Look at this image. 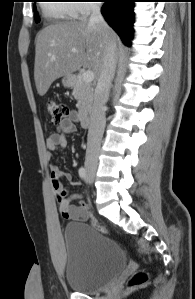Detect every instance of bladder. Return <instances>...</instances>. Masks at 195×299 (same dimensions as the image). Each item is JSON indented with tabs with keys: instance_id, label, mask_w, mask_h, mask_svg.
<instances>
[{
	"instance_id": "31cf9c89",
	"label": "bladder",
	"mask_w": 195,
	"mask_h": 299,
	"mask_svg": "<svg viewBox=\"0 0 195 299\" xmlns=\"http://www.w3.org/2000/svg\"><path fill=\"white\" fill-rule=\"evenodd\" d=\"M65 281L70 289L90 293L113 282L127 266L119 245L84 222L63 232Z\"/></svg>"
}]
</instances>
